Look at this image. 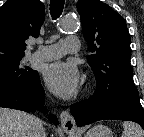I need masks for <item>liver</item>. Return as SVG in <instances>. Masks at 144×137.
<instances>
[{
    "label": "liver",
    "mask_w": 144,
    "mask_h": 137,
    "mask_svg": "<svg viewBox=\"0 0 144 137\" xmlns=\"http://www.w3.org/2000/svg\"><path fill=\"white\" fill-rule=\"evenodd\" d=\"M43 121L19 110L0 108V137H44Z\"/></svg>",
    "instance_id": "1"
}]
</instances>
